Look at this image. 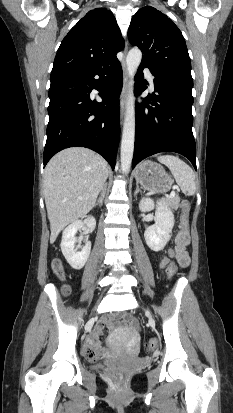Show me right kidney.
<instances>
[{
  "mask_svg": "<svg viewBox=\"0 0 233 413\" xmlns=\"http://www.w3.org/2000/svg\"><path fill=\"white\" fill-rule=\"evenodd\" d=\"M96 227V220L93 216H89L84 220H76L65 228L62 234L61 250L72 268L79 270L86 264L91 250V243L89 241L83 246L81 251H77L75 243L77 241L75 234L81 228H84L88 232H93Z\"/></svg>",
  "mask_w": 233,
  "mask_h": 413,
  "instance_id": "ca27d5eb",
  "label": "right kidney"
}]
</instances>
